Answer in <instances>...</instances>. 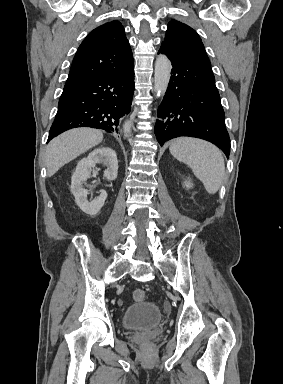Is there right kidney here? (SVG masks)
<instances>
[{"instance_id": "1", "label": "right kidney", "mask_w": 283, "mask_h": 384, "mask_svg": "<svg viewBox=\"0 0 283 384\" xmlns=\"http://www.w3.org/2000/svg\"><path fill=\"white\" fill-rule=\"evenodd\" d=\"M96 164H104L107 170H104L105 180H116L118 174V160L115 150L111 148H96L87 158L80 160L76 166V170L71 178V192L75 196V202L84 214H89L90 218H94L104 206L107 198V192L100 190V194L96 200H88V190H84L88 178L97 176L99 170H96Z\"/></svg>"}]
</instances>
